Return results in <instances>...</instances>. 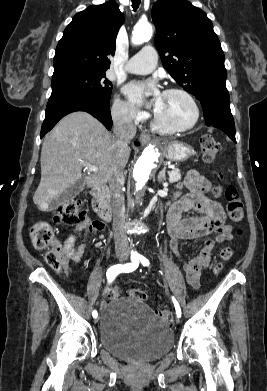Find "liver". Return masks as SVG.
Wrapping results in <instances>:
<instances>
[{
	"label": "liver",
	"instance_id": "1",
	"mask_svg": "<svg viewBox=\"0 0 267 391\" xmlns=\"http://www.w3.org/2000/svg\"><path fill=\"white\" fill-rule=\"evenodd\" d=\"M114 140L107 129L86 112L77 111L62 118L42 145L41 180L33 196L34 203L46 206L80 180L82 162L99 168L83 179L89 188L107 181L115 162L123 169L130 149L117 158Z\"/></svg>",
	"mask_w": 267,
	"mask_h": 391
}]
</instances>
